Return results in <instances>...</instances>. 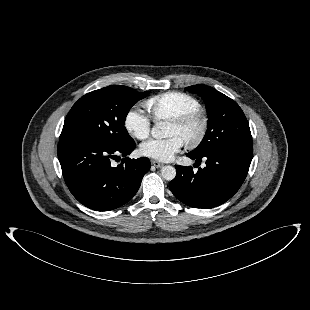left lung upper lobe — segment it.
Returning <instances> with one entry per match:
<instances>
[{
    "mask_svg": "<svg viewBox=\"0 0 310 310\" xmlns=\"http://www.w3.org/2000/svg\"><path fill=\"white\" fill-rule=\"evenodd\" d=\"M185 90L204 100L209 116L206 134L192 154L200 157L224 147L251 144L248 121L234 100L204 84L189 86Z\"/></svg>",
    "mask_w": 310,
    "mask_h": 310,
    "instance_id": "obj_1",
    "label": "left lung upper lobe"
}]
</instances>
